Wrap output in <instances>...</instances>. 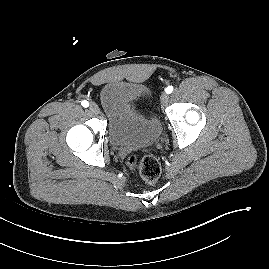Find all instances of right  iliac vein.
Here are the masks:
<instances>
[{"instance_id": "obj_1", "label": "right iliac vein", "mask_w": 269, "mask_h": 269, "mask_svg": "<svg viewBox=\"0 0 269 269\" xmlns=\"http://www.w3.org/2000/svg\"><path fill=\"white\" fill-rule=\"evenodd\" d=\"M89 109L94 114H99V112H100L98 105L95 103H91Z\"/></svg>"}]
</instances>
